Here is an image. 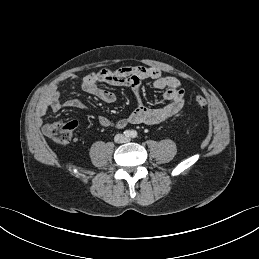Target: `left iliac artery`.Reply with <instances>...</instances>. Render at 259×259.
<instances>
[{"label": "left iliac artery", "mask_w": 259, "mask_h": 259, "mask_svg": "<svg viewBox=\"0 0 259 259\" xmlns=\"http://www.w3.org/2000/svg\"><path fill=\"white\" fill-rule=\"evenodd\" d=\"M131 137L132 138H136L137 137V132L136 131H132L131 132Z\"/></svg>", "instance_id": "1"}]
</instances>
